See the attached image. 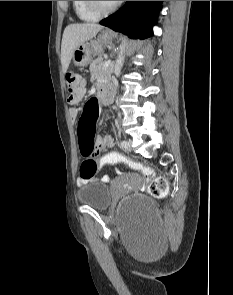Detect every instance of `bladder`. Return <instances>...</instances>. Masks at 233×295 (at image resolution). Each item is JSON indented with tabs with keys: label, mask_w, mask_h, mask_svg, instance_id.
<instances>
[{
	"label": "bladder",
	"mask_w": 233,
	"mask_h": 295,
	"mask_svg": "<svg viewBox=\"0 0 233 295\" xmlns=\"http://www.w3.org/2000/svg\"><path fill=\"white\" fill-rule=\"evenodd\" d=\"M78 201L85 206L98 211H104L109 208L112 196L109 188L102 182H89L77 191ZM121 213H138L148 221L157 219V208L155 202L149 197L143 195H132L122 200L120 203Z\"/></svg>",
	"instance_id": "obj_1"
}]
</instances>
